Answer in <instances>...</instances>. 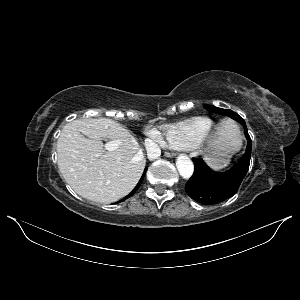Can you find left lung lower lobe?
Returning a JSON list of instances; mask_svg holds the SVG:
<instances>
[{
  "label": "left lung lower lobe",
  "mask_w": 300,
  "mask_h": 300,
  "mask_svg": "<svg viewBox=\"0 0 300 300\" xmlns=\"http://www.w3.org/2000/svg\"><path fill=\"white\" fill-rule=\"evenodd\" d=\"M248 144L240 163L231 169L218 173L211 170L200 159H193L194 173L185 185L187 194L203 205H214L232 197L238 190L244 176L249 169L251 157V139L244 126Z\"/></svg>",
  "instance_id": "1"
}]
</instances>
